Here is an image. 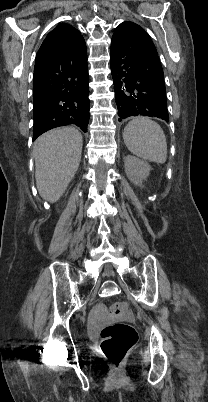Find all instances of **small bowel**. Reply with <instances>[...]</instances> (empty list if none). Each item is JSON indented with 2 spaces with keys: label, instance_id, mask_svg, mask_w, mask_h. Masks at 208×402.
<instances>
[{
  "label": "small bowel",
  "instance_id": "obj_1",
  "mask_svg": "<svg viewBox=\"0 0 208 402\" xmlns=\"http://www.w3.org/2000/svg\"><path fill=\"white\" fill-rule=\"evenodd\" d=\"M87 317L91 323V328L93 330H98L101 324H105L107 321L108 312L106 309H89L86 312Z\"/></svg>",
  "mask_w": 208,
  "mask_h": 402
}]
</instances>
